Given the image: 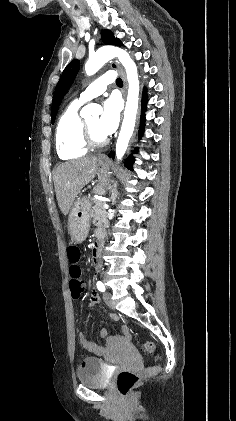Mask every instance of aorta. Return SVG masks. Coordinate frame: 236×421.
<instances>
[{
    "label": "aorta",
    "mask_w": 236,
    "mask_h": 421,
    "mask_svg": "<svg viewBox=\"0 0 236 421\" xmlns=\"http://www.w3.org/2000/svg\"><path fill=\"white\" fill-rule=\"evenodd\" d=\"M118 56L120 62H122L128 80V94L124 110V118L119 132V136L116 142V158L121 160L124 156L128 142L133 134L136 114L138 110V96H139V78L137 66L129 56L126 50L118 48V46H101L94 54H90L87 62H85V72L88 76L95 74L97 70L102 68L105 62H108L110 58Z\"/></svg>",
    "instance_id": "aorta-1"
}]
</instances>
